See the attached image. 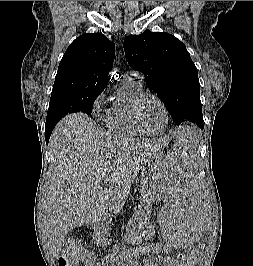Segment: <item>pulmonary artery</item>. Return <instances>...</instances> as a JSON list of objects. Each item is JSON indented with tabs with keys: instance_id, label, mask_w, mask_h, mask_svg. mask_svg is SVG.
<instances>
[{
	"instance_id": "obj_1",
	"label": "pulmonary artery",
	"mask_w": 253,
	"mask_h": 266,
	"mask_svg": "<svg viewBox=\"0 0 253 266\" xmlns=\"http://www.w3.org/2000/svg\"><path fill=\"white\" fill-rule=\"evenodd\" d=\"M141 79L142 77L138 73H135V72H128L125 76V80H132L138 83H141Z\"/></svg>"
}]
</instances>
